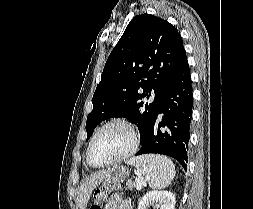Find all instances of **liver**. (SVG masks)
I'll list each match as a JSON object with an SVG mask.
<instances>
[{
  "instance_id": "obj_1",
  "label": "liver",
  "mask_w": 253,
  "mask_h": 209,
  "mask_svg": "<svg viewBox=\"0 0 253 209\" xmlns=\"http://www.w3.org/2000/svg\"><path fill=\"white\" fill-rule=\"evenodd\" d=\"M113 171L114 169L102 170L82 180L76 200L79 209H86L93 190L104 178L108 177Z\"/></svg>"
}]
</instances>
